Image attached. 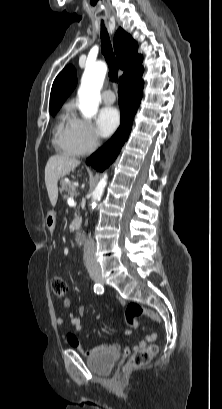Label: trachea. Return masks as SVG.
Masks as SVG:
<instances>
[{"label":"trachea","mask_w":222,"mask_h":409,"mask_svg":"<svg viewBox=\"0 0 222 409\" xmlns=\"http://www.w3.org/2000/svg\"><path fill=\"white\" fill-rule=\"evenodd\" d=\"M101 49L109 67V77L113 82L118 78V63L114 56L109 34L102 21L101 23Z\"/></svg>","instance_id":"3493384b"}]
</instances>
